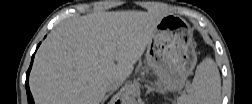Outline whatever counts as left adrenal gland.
I'll return each mask as SVG.
<instances>
[{
  "label": "left adrenal gland",
  "instance_id": "left-adrenal-gland-1",
  "mask_svg": "<svg viewBox=\"0 0 252 104\" xmlns=\"http://www.w3.org/2000/svg\"><path fill=\"white\" fill-rule=\"evenodd\" d=\"M145 87L147 88V93H150V92H153V91H156V92H159L158 89H156L155 87H152L150 85H145Z\"/></svg>",
  "mask_w": 252,
  "mask_h": 104
}]
</instances>
